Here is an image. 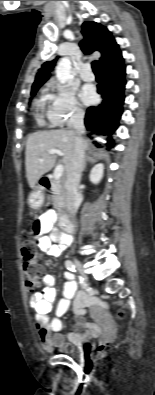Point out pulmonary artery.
Returning <instances> with one entry per match:
<instances>
[{
    "label": "pulmonary artery",
    "mask_w": 155,
    "mask_h": 395,
    "mask_svg": "<svg viewBox=\"0 0 155 395\" xmlns=\"http://www.w3.org/2000/svg\"><path fill=\"white\" fill-rule=\"evenodd\" d=\"M81 78L84 81H93L95 76L94 74L91 72L90 67L88 65H85L81 71Z\"/></svg>",
    "instance_id": "1"
}]
</instances>
